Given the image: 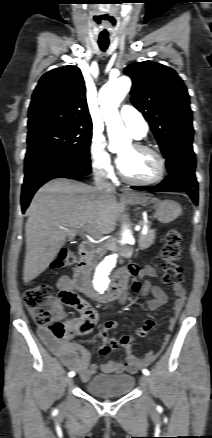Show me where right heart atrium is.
<instances>
[{
  "label": "right heart atrium",
  "instance_id": "obj_1",
  "mask_svg": "<svg viewBox=\"0 0 212 438\" xmlns=\"http://www.w3.org/2000/svg\"><path fill=\"white\" fill-rule=\"evenodd\" d=\"M89 156L91 167L96 175L103 178H110L113 175V160L102 137H92Z\"/></svg>",
  "mask_w": 212,
  "mask_h": 438
}]
</instances>
